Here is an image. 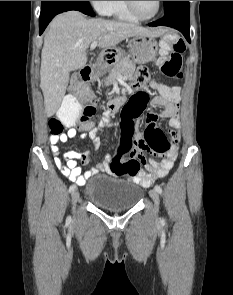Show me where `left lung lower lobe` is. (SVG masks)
Returning a JSON list of instances; mask_svg holds the SVG:
<instances>
[{"label":"left lung lower lobe","instance_id":"1","mask_svg":"<svg viewBox=\"0 0 233 295\" xmlns=\"http://www.w3.org/2000/svg\"><path fill=\"white\" fill-rule=\"evenodd\" d=\"M189 11V3L177 6L172 11L166 13L163 18L150 23L149 26L163 25L175 28L182 32L185 38L190 42Z\"/></svg>","mask_w":233,"mask_h":295}]
</instances>
